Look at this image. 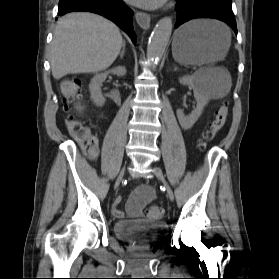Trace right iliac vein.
Segmentation results:
<instances>
[{
  "instance_id": "1",
  "label": "right iliac vein",
  "mask_w": 279,
  "mask_h": 279,
  "mask_svg": "<svg viewBox=\"0 0 279 279\" xmlns=\"http://www.w3.org/2000/svg\"><path fill=\"white\" fill-rule=\"evenodd\" d=\"M124 172H125V169H122L120 174H119V176H118V178H117V180H116L115 187L119 186V184H120V182H121V180L123 178Z\"/></svg>"
}]
</instances>
